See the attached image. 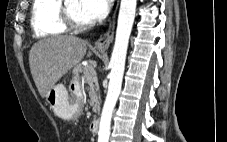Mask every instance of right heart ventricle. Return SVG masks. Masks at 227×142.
I'll list each match as a JSON object with an SVG mask.
<instances>
[{
	"label": "right heart ventricle",
	"instance_id": "e07e8e85",
	"mask_svg": "<svg viewBox=\"0 0 227 142\" xmlns=\"http://www.w3.org/2000/svg\"><path fill=\"white\" fill-rule=\"evenodd\" d=\"M60 6L61 0H33L31 27L35 37L60 36L69 31L61 21Z\"/></svg>",
	"mask_w": 227,
	"mask_h": 142
}]
</instances>
